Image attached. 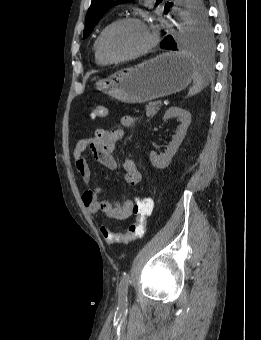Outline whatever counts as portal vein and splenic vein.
<instances>
[{"mask_svg": "<svg viewBox=\"0 0 261 340\" xmlns=\"http://www.w3.org/2000/svg\"><path fill=\"white\" fill-rule=\"evenodd\" d=\"M157 104H158V105H162V100H158V101H157Z\"/></svg>", "mask_w": 261, "mask_h": 340, "instance_id": "portal-vein-and-splenic-vein-1", "label": "portal vein and splenic vein"}]
</instances>
